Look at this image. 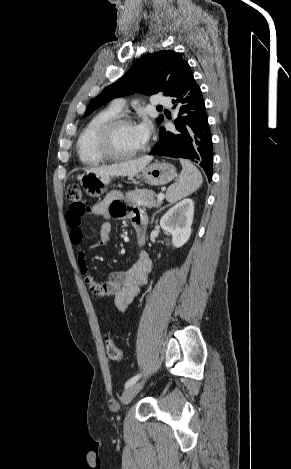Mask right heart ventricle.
I'll return each instance as SVG.
<instances>
[{
    "label": "right heart ventricle",
    "instance_id": "right-heart-ventricle-1",
    "mask_svg": "<svg viewBox=\"0 0 291 469\" xmlns=\"http://www.w3.org/2000/svg\"><path fill=\"white\" fill-rule=\"evenodd\" d=\"M119 113L120 111L111 105L97 112L84 126L76 143L77 154L82 164L97 166L107 160L98 148V133L107 121Z\"/></svg>",
    "mask_w": 291,
    "mask_h": 469
}]
</instances>
